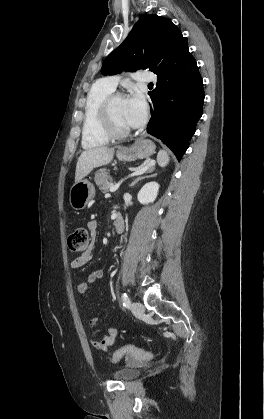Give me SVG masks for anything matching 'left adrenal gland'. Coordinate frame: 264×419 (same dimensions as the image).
I'll return each instance as SVG.
<instances>
[{"label":"left adrenal gland","mask_w":264,"mask_h":419,"mask_svg":"<svg viewBox=\"0 0 264 419\" xmlns=\"http://www.w3.org/2000/svg\"><path fill=\"white\" fill-rule=\"evenodd\" d=\"M145 164H143L142 166H144ZM156 174H152V175H147V176H138L137 178H135L133 180V182H131V184L129 185L130 187L134 186L136 183H138L139 181L145 179V178H149V177H153Z\"/></svg>","instance_id":"1"}]
</instances>
